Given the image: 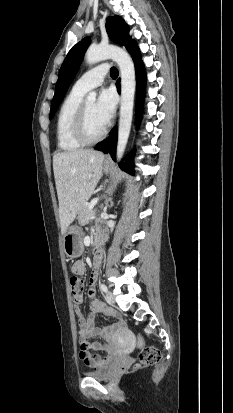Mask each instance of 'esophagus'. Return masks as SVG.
Instances as JSON below:
<instances>
[{"mask_svg": "<svg viewBox=\"0 0 233 413\" xmlns=\"http://www.w3.org/2000/svg\"><path fill=\"white\" fill-rule=\"evenodd\" d=\"M109 159H110V157H109V156H107V157H106V160H107V161H109Z\"/></svg>", "mask_w": 233, "mask_h": 413, "instance_id": "34e87169", "label": "esophagus"}]
</instances>
